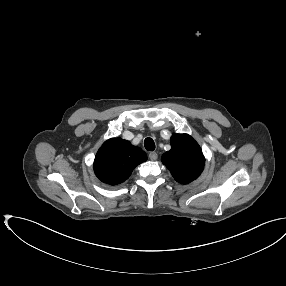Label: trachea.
<instances>
[{
	"mask_svg": "<svg viewBox=\"0 0 286 286\" xmlns=\"http://www.w3.org/2000/svg\"><path fill=\"white\" fill-rule=\"evenodd\" d=\"M144 146L147 151H154L155 150V143L154 140L150 137L144 140Z\"/></svg>",
	"mask_w": 286,
	"mask_h": 286,
	"instance_id": "obj_1",
	"label": "trachea"
}]
</instances>
